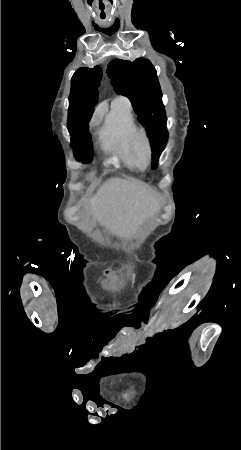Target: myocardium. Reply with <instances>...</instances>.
Instances as JSON below:
<instances>
[{"mask_svg": "<svg viewBox=\"0 0 241 450\" xmlns=\"http://www.w3.org/2000/svg\"><path fill=\"white\" fill-rule=\"evenodd\" d=\"M134 136H129L127 138V141L129 143L128 148L133 149L134 152V161L135 162H143L145 160L146 162H154L155 158L152 157V148H150L149 141L147 137L150 136L149 132H145L142 128H134L133 132ZM137 143V144H136ZM143 151V152H142ZM145 157V159H143Z\"/></svg>", "mask_w": 241, "mask_h": 450, "instance_id": "f54148a6", "label": "myocardium"}]
</instances>
